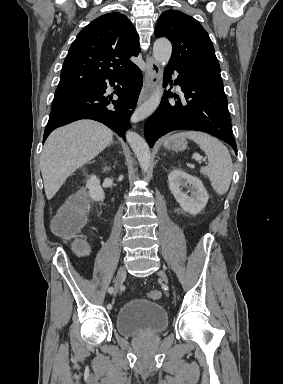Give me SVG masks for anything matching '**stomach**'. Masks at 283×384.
<instances>
[{
    "instance_id": "stomach-1",
    "label": "stomach",
    "mask_w": 283,
    "mask_h": 384,
    "mask_svg": "<svg viewBox=\"0 0 283 384\" xmlns=\"http://www.w3.org/2000/svg\"><path fill=\"white\" fill-rule=\"evenodd\" d=\"M166 148H169V150H174V152H180V150H186L187 148V142L186 140H181V138H178V140H166Z\"/></svg>"
}]
</instances>
